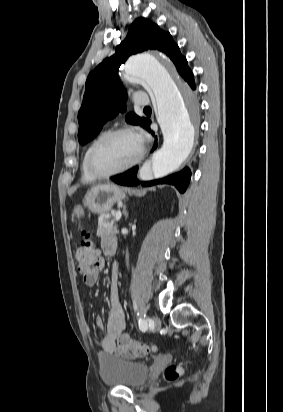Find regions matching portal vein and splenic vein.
Instances as JSON below:
<instances>
[{
	"instance_id": "18ae733b",
	"label": "portal vein and splenic vein",
	"mask_w": 283,
	"mask_h": 412,
	"mask_svg": "<svg viewBox=\"0 0 283 412\" xmlns=\"http://www.w3.org/2000/svg\"><path fill=\"white\" fill-rule=\"evenodd\" d=\"M120 218H121V212L119 211V212H117L116 215H115V220H116V221H119Z\"/></svg>"
}]
</instances>
